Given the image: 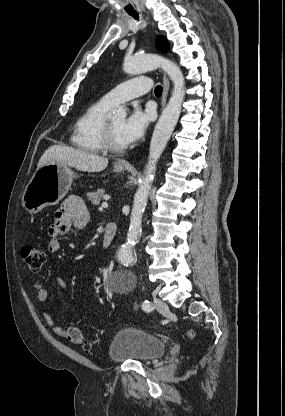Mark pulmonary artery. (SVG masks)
<instances>
[{
    "instance_id": "obj_1",
    "label": "pulmonary artery",
    "mask_w": 285,
    "mask_h": 416,
    "mask_svg": "<svg viewBox=\"0 0 285 416\" xmlns=\"http://www.w3.org/2000/svg\"><path fill=\"white\" fill-rule=\"evenodd\" d=\"M150 84L151 80L147 76L135 77L113 87L102 99L109 105H113L120 100L133 102L135 97L141 96L149 91Z\"/></svg>"
}]
</instances>
